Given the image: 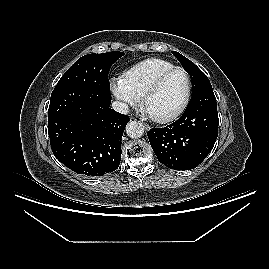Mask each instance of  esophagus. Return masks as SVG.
<instances>
[{"mask_svg": "<svg viewBox=\"0 0 269 269\" xmlns=\"http://www.w3.org/2000/svg\"><path fill=\"white\" fill-rule=\"evenodd\" d=\"M143 124V126H144V128L146 129V130H150V126L148 125V124H146V123H142Z\"/></svg>", "mask_w": 269, "mask_h": 269, "instance_id": "1", "label": "esophagus"}]
</instances>
